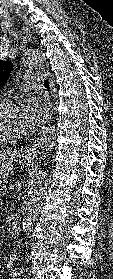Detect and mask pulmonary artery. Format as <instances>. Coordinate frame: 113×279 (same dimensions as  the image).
Segmentation results:
<instances>
[{
  "instance_id": "obj_1",
  "label": "pulmonary artery",
  "mask_w": 113,
  "mask_h": 279,
  "mask_svg": "<svg viewBox=\"0 0 113 279\" xmlns=\"http://www.w3.org/2000/svg\"><path fill=\"white\" fill-rule=\"evenodd\" d=\"M25 78V85L29 86L32 82L39 81L42 79V74H31V73H26L23 75Z\"/></svg>"
}]
</instances>
